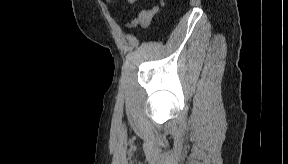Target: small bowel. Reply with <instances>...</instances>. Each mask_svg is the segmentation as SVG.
Returning <instances> with one entry per match:
<instances>
[{
  "label": "small bowel",
  "mask_w": 288,
  "mask_h": 164,
  "mask_svg": "<svg viewBox=\"0 0 288 164\" xmlns=\"http://www.w3.org/2000/svg\"><path fill=\"white\" fill-rule=\"evenodd\" d=\"M157 11H158V8H157V7H154V8H152V9H150V10H146V11L141 12L139 16H142V15L147 14V15H149L150 18L152 19L153 16L155 15V13H156Z\"/></svg>",
  "instance_id": "1"
}]
</instances>
